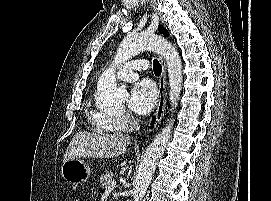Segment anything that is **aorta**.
<instances>
[{"label":"aorta","instance_id":"obj_1","mask_svg":"<svg viewBox=\"0 0 271 201\" xmlns=\"http://www.w3.org/2000/svg\"><path fill=\"white\" fill-rule=\"evenodd\" d=\"M145 50L158 52L166 60L169 76V100L171 110H173L178 105L177 100L182 88V62L178 52L170 42L149 32L128 34L121 42L114 62L115 64L123 63ZM113 71V69H109L105 78L98 84L95 101L100 109L122 106L128 96L124 89L117 88ZM173 122L174 119L169 120V123L150 143L145 152L135 180L134 201H142L148 189L157 162L169 142Z\"/></svg>","mask_w":271,"mask_h":201}]
</instances>
